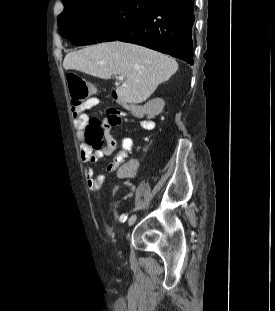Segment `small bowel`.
I'll return each instance as SVG.
<instances>
[{
    "label": "small bowel",
    "instance_id": "small-bowel-1",
    "mask_svg": "<svg viewBox=\"0 0 275 311\" xmlns=\"http://www.w3.org/2000/svg\"><path fill=\"white\" fill-rule=\"evenodd\" d=\"M96 104H81L73 108V116L76 128V134L79 139L84 137V127L88 123V116L85 113L87 109L95 106ZM125 120L127 113L122 110H115ZM132 123L137 125L142 130L150 131L155 128V121L150 118H143L139 114H135L131 120ZM110 124L105 125L107 132L106 144L103 149L93 151L88 145L80 146V158L83 162V171L86 179L87 187L91 191H99L104 183L105 177L103 175H95L92 163L98 161L103 156L111 155L116 148V140L109 135ZM133 140L130 137H123L121 139V150L114 156L113 160L107 165V171L114 172L122 164L123 169L117 170V175L123 178H133L138 169V163L136 161L131 162L125 160L128 152L132 149Z\"/></svg>",
    "mask_w": 275,
    "mask_h": 311
}]
</instances>
